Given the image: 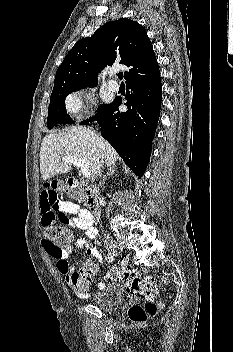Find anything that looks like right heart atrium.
Returning a JSON list of instances; mask_svg holds the SVG:
<instances>
[{
    "label": "right heart atrium",
    "instance_id": "1",
    "mask_svg": "<svg viewBox=\"0 0 233 352\" xmlns=\"http://www.w3.org/2000/svg\"><path fill=\"white\" fill-rule=\"evenodd\" d=\"M89 99L90 95L88 94L83 95L82 92H74L66 98V109L73 115H79L84 108V104L88 102Z\"/></svg>",
    "mask_w": 233,
    "mask_h": 352
}]
</instances>
